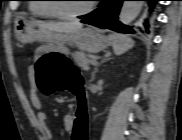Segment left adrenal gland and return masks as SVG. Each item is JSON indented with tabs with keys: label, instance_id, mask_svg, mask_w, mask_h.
<instances>
[{
	"label": "left adrenal gland",
	"instance_id": "a2214340",
	"mask_svg": "<svg viewBox=\"0 0 182 140\" xmlns=\"http://www.w3.org/2000/svg\"><path fill=\"white\" fill-rule=\"evenodd\" d=\"M109 59H110V57L107 56L106 58H104V59L101 61L100 64L104 63L105 61H107V60H109ZM100 64H98V65L94 68V71L92 72V80L95 79V73L98 71V67H99Z\"/></svg>",
	"mask_w": 182,
	"mask_h": 140
}]
</instances>
